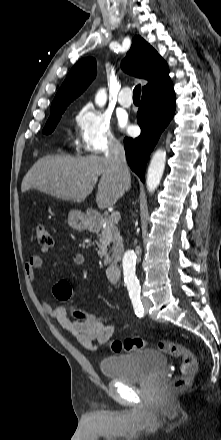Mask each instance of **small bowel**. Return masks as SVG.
<instances>
[{"mask_svg":"<svg viewBox=\"0 0 221 440\" xmlns=\"http://www.w3.org/2000/svg\"><path fill=\"white\" fill-rule=\"evenodd\" d=\"M49 248H42L41 251L46 253ZM72 262L76 266L84 263V257L80 253H76L72 257ZM43 266V259L40 255H32L25 265V274L28 280L35 284L37 280V271ZM41 306L43 310L58 324L67 331L76 341L89 350H96L100 346L105 345L113 336L114 325L98 324L96 321H86L85 318H77L76 321H68V310L64 306L52 307L48 301L42 300Z\"/></svg>","mask_w":221,"mask_h":440,"instance_id":"obj_1","label":"small bowel"}]
</instances>
